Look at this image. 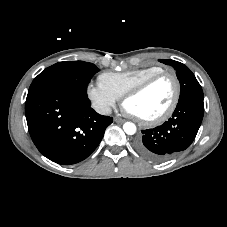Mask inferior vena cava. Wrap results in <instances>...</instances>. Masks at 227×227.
I'll list each match as a JSON object with an SVG mask.
<instances>
[{
  "instance_id": "obj_1",
  "label": "inferior vena cava",
  "mask_w": 227,
  "mask_h": 227,
  "mask_svg": "<svg viewBox=\"0 0 227 227\" xmlns=\"http://www.w3.org/2000/svg\"><path fill=\"white\" fill-rule=\"evenodd\" d=\"M96 111L102 115H110L112 113V110L109 106H100L96 108Z\"/></svg>"
}]
</instances>
